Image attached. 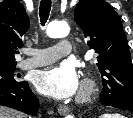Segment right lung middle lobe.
<instances>
[{
    "mask_svg": "<svg viewBox=\"0 0 133 118\" xmlns=\"http://www.w3.org/2000/svg\"><path fill=\"white\" fill-rule=\"evenodd\" d=\"M15 62L0 63V87H9L19 84L15 79Z\"/></svg>",
    "mask_w": 133,
    "mask_h": 118,
    "instance_id": "right-lung-middle-lobe-1",
    "label": "right lung middle lobe"
}]
</instances>
